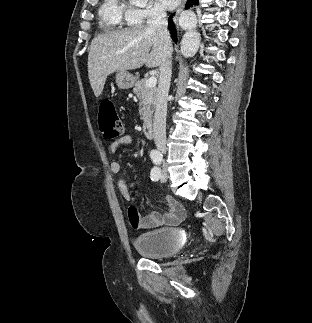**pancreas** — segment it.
Wrapping results in <instances>:
<instances>
[{
    "instance_id": "1",
    "label": "pancreas",
    "mask_w": 312,
    "mask_h": 323,
    "mask_svg": "<svg viewBox=\"0 0 312 323\" xmlns=\"http://www.w3.org/2000/svg\"><path fill=\"white\" fill-rule=\"evenodd\" d=\"M146 82L147 78L138 80V82L134 84L133 92L136 94L138 100H140V120H143V122H150L156 106V88H147Z\"/></svg>"
}]
</instances>
